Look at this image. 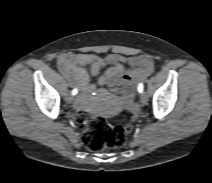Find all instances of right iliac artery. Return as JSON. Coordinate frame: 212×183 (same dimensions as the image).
Returning a JSON list of instances; mask_svg holds the SVG:
<instances>
[{"label": "right iliac artery", "mask_w": 212, "mask_h": 183, "mask_svg": "<svg viewBox=\"0 0 212 183\" xmlns=\"http://www.w3.org/2000/svg\"><path fill=\"white\" fill-rule=\"evenodd\" d=\"M77 92H78V90L75 88V89H73L72 90V95H76L77 94Z\"/></svg>", "instance_id": "obj_1"}]
</instances>
